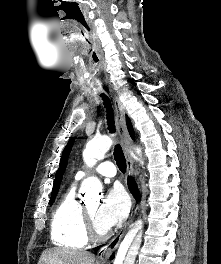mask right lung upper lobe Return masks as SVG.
<instances>
[{
  "label": "right lung upper lobe",
  "instance_id": "right-lung-upper-lobe-1",
  "mask_svg": "<svg viewBox=\"0 0 221 264\" xmlns=\"http://www.w3.org/2000/svg\"><path fill=\"white\" fill-rule=\"evenodd\" d=\"M126 121H127V127H128V130H129V133H130L131 137L134 139V131H133L131 122H130L128 117L126 118Z\"/></svg>",
  "mask_w": 221,
  "mask_h": 264
}]
</instances>
